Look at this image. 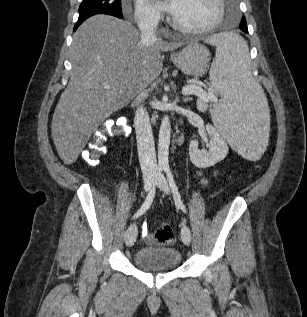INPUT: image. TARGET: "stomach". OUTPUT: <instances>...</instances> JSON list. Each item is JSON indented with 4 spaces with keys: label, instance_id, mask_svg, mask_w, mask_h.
Returning <instances> with one entry per match:
<instances>
[{
    "label": "stomach",
    "instance_id": "obj_1",
    "mask_svg": "<svg viewBox=\"0 0 307 317\" xmlns=\"http://www.w3.org/2000/svg\"><path fill=\"white\" fill-rule=\"evenodd\" d=\"M172 62L186 75L204 76L210 62L208 49L198 43H189L180 52L171 55Z\"/></svg>",
    "mask_w": 307,
    "mask_h": 317
}]
</instances>
